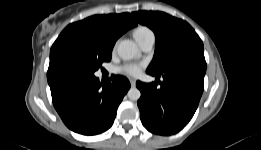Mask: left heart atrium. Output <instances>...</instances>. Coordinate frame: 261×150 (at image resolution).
Instances as JSON below:
<instances>
[{
  "label": "left heart atrium",
  "mask_w": 261,
  "mask_h": 150,
  "mask_svg": "<svg viewBox=\"0 0 261 150\" xmlns=\"http://www.w3.org/2000/svg\"><path fill=\"white\" fill-rule=\"evenodd\" d=\"M143 66V63L130 62L119 67V71L130 76H137L140 74Z\"/></svg>",
  "instance_id": "obj_1"
}]
</instances>
